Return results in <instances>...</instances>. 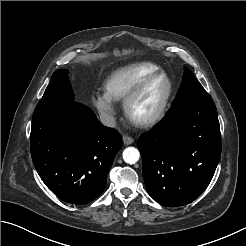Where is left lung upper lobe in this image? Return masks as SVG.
Masks as SVG:
<instances>
[{"mask_svg":"<svg viewBox=\"0 0 246 246\" xmlns=\"http://www.w3.org/2000/svg\"><path fill=\"white\" fill-rule=\"evenodd\" d=\"M208 93L195 78L193 73L186 67H184L183 81L181 83L180 89L176 95L172 106H175L183 101L191 98L201 97L207 95Z\"/></svg>","mask_w":246,"mask_h":246,"instance_id":"1","label":"left lung upper lobe"}]
</instances>
